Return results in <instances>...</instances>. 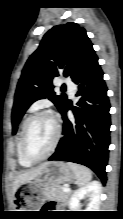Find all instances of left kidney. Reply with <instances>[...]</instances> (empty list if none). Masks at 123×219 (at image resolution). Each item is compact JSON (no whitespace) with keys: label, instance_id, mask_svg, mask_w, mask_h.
Masks as SVG:
<instances>
[{"label":"left kidney","instance_id":"1","mask_svg":"<svg viewBox=\"0 0 123 219\" xmlns=\"http://www.w3.org/2000/svg\"><path fill=\"white\" fill-rule=\"evenodd\" d=\"M101 189L102 186L98 181H92L78 188L70 198L69 208L72 211H82L80 200L90 197V202L83 211H99Z\"/></svg>","mask_w":123,"mask_h":219}]
</instances>
